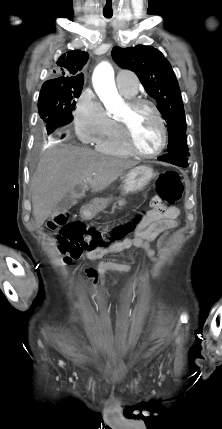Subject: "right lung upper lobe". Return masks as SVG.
Instances as JSON below:
<instances>
[{
    "label": "right lung upper lobe",
    "mask_w": 222,
    "mask_h": 429,
    "mask_svg": "<svg viewBox=\"0 0 222 429\" xmlns=\"http://www.w3.org/2000/svg\"><path fill=\"white\" fill-rule=\"evenodd\" d=\"M88 60V53L80 50H72L61 55L56 62L53 71L56 78L46 81L43 85H76L83 84L84 76L81 69Z\"/></svg>",
    "instance_id": "cb5924a9"
}]
</instances>
